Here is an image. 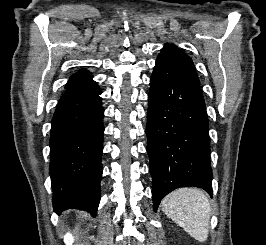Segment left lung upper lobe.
<instances>
[{
	"label": "left lung upper lobe",
	"instance_id": "5c2ea615",
	"mask_svg": "<svg viewBox=\"0 0 266 245\" xmlns=\"http://www.w3.org/2000/svg\"><path fill=\"white\" fill-rule=\"evenodd\" d=\"M158 58L167 59L173 63L182 66L187 72H189L196 79H198L191 58L186 55L182 50H180L177 46L172 44H166L161 49V53L158 55Z\"/></svg>",
	"mask_w": 266,
	"mask_h": 245
}]
</instances>
